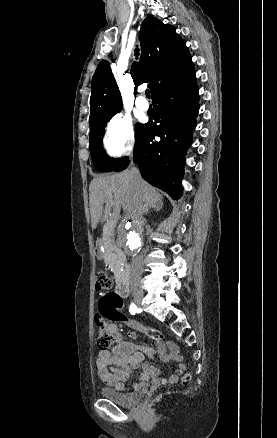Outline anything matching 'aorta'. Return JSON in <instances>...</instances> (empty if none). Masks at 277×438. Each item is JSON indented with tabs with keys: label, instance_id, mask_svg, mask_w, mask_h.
Masks as SVG:
<instances>
[{
	"label": "aorta",
	"instance_id": "aorta-1",
	"mask_svg": "<svg viewBox=\"0 0 277 438\" xmlns=\"http://www.w3.org/2000/svg\"><path fill=\"white\" fill-rule=\"evenodd\" d=\"M144 242V227L140 220L124 222L117 235L118 246L128 254L138 253Z\"/></svg>",
	"mask_w": 277,
	"mask_h": 438
}]
</instances>
